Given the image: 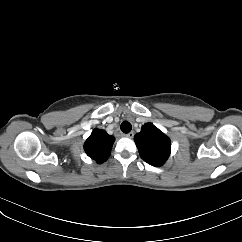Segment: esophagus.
<instances>
[{
    "label": "esophagus",
    "instance_id": "1",
    "mask_svg": "<svg viewBox=\"0 0 242 242\" xmlns=\"http://www.w3.org/2000/svg\"><path fill=\"white\" fill-rule=\"evenodd\" d=\"M124 136L127 137V138H132L134 136V132L131 131V132L125 134Z\"/></svg>",
    "mask_w": 242,
    "mask_h": 242
}]
</instances>
